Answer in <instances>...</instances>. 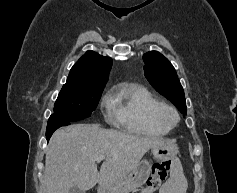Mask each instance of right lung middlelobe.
Returning a JSON list of instances; mask_svg holds the SVG:
<instances>
[{"label": "right lung middle lobe", "mask_w": 237, "mask_h": 193, "mask_svg": "<svg viewBox=\"0 0 237 193\" xmlns=\"http://www.w3.org/2000/svg\"><path fill=\"white\" fill-rule=\"evenodd\" d=\"M103 88L64 84L51 117L71 122L90 117L98 105Z\"/></svg>", "instance_id": "obj_1"}]
</instances>
